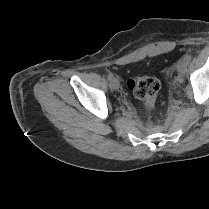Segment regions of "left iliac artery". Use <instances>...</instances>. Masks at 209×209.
<instances>
[{"mask_svg":"<svg viewBox=\"0 0 209 209\" xmlns=\"http://www.w3.org/2000/svg\"><path fill=\"white\" fill-rule=\"evenodd\" d=\"M183 59H184L187 63H189V62L191 61V59H192V55H191V54H185L184 57H183Z\"/></svg>","mask_w":209,"mask_h":209,"instance_id":"1","label":"left iliac artery"}]
</instances>
